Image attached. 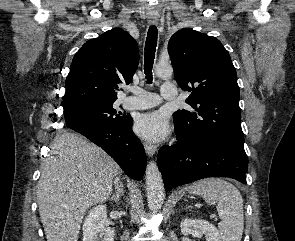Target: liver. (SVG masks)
I'll return each instance as SVG.
<instances>
[{
  "mask_svg": "<svg viewBox=\"0 0 295 241\" xmlns=\"http://www.w3.org/2000/svg\"><path fill=\"white\" fill-rule=\"evenodd\" d=\"M119 171L110 156L78 134L55 138L37 186L47 241H77L86 211L109 198Z\"/></svg>",
  "mask_w": 295,
  "mask_h": 241,
  "instance_id": "obj_1",
  "label": "liver"
}]
</instances>
